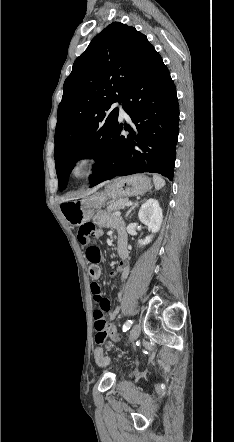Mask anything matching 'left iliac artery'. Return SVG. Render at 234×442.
Returning a JSON list of instances; mask_svg holds the SVG:
<instances>
[{
    "mask_svg": "<svg viewBox=\"0 0 234 442\" xmlns=\"http://www.w3.org/2000/svg\"><path fill=\"white\" fill-rule=\"evenodd\" d=\"M132 323L133 322L131 320L126 321L124 326H123V331L126 332L127 330H129L131 325H132Z\"/></svg>",
    "mask_w": 234,
    "mask_h": 442,
    "instance_id": "1",
    "label": "left iliac artery"
}]
</instances>
